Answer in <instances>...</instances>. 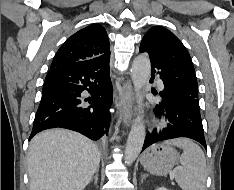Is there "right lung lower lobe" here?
<instances>
[{"mask_svg":"<svg viewBox=\"0 0 234 190\" xmlns=\"http://www.w3.org/2000/svg\"><path fill=\"white\" fill-rule=\"evenodd\" d=\"M108 63L94 58L50 69L29 140L40 131L58 127L92 140L107 134L113 92ZM83 91L91 96L85 98Z\"/></svg>","mask_w":234,"mask_h":190,"instance_id":"right-lung-lower-lobe-1","label":"right lung lower lobe"}]
</instances>
